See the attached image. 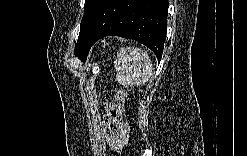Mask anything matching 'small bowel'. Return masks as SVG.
Here are the masks:
<instances>
[{"instance_id":"1","label":"small bowel","mask_w":247,"mask_h":156,"mask_svg":"<svg viewBox=\"0 0 247 156\" xmlns=\"http://www.w3.org/2000/svg\"><path fill=\"white\" fill-rule=\"evenodd\" d=\"M107 119L104 126L109 146L113 149H118L125 146L128 142L129 132L125 123L121 122L122 116L117 111L114 103L106 105Z\"/></svg>"}]
</instances>
